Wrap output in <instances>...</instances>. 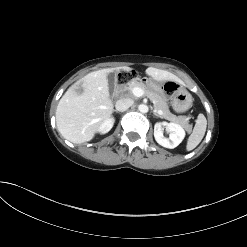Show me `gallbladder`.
I'll use <instances>...</instances> for the list:
<instances>
[{"mask_svg":"<svg viewBox=\"0 0 247 247\" xmlns=\"http://www.w3.org/2000/svg\"><path fill=\"white\" fill-rule=\"evenodd\" d=\"M107 81H108L109 89L112 92L114 90V87H115L116 82H117L116 74L114 72L108 73L107 74Z\"/></svg>","mask_w":247,"mask_h":247,"instance_id":"bac80fb5","label":"gallbladder"}]
</instances>
